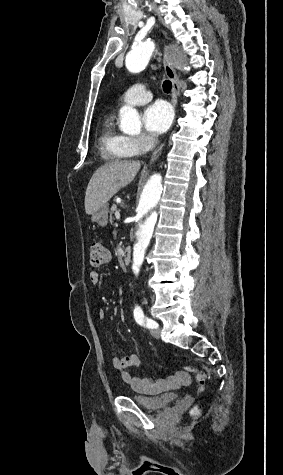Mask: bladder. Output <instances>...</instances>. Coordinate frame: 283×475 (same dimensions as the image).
<instances>
[{"instance_id":"31cf9c89","label":"bladder","mask_w":283,"mask_h":475,"mask_svg":"<svg viewBox=\"0 0 283 475\" xmlns=\"http://www.w3.org/2000/svg\"><path fill=\"white\" fill-rule=\"evenodd\" d=\"M129 398L138 406L153 412L173 405L178 400L176 396L168 394H160L157 396H141L137 393H130Z\"/></svg>"}]
</instances>
